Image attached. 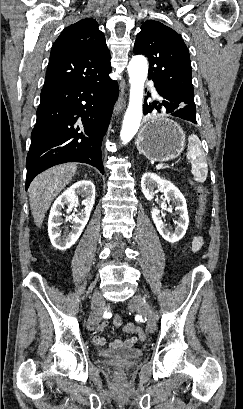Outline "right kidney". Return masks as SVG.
<instances>
[{
  "mask_svg": "<svg viewBox=\"0 0 243 409\" xmlns=\"http://www.w3.org/2000/svg\"><path fill=\"white\" fill-rule=\"evenodd\" d=\"M83 197V212L77 216H68L73 226L70 233L61 236L60 225L62 223L61 210L65 205L68 206L67 212L70 213L73 207L78 203V196ZM95 201V186L91 181L81 180L67 188L54 202L51 207L48 219V233L52 245L59 250L69 249L80 237L86 226L91 210Z\"/></svg>",
  "mask_w": 243,
  "mask_h": 409,
  "instance_id": "right-kidney-1",
  "label": "right kidney"
}]
</instances>
